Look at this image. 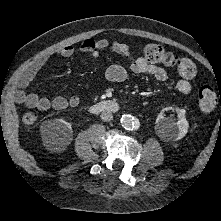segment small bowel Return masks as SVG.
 Instances as JSON below:
<instances>
[{
    "label": "small bowel",
    "mask_w": 221,
    "mask_h": 221,
    "mask_svg": "<svg viewBox=\"0 0 221 221\" xmlns=\"http://www.w3.org/2000/svg\"><path fill=\"white\" fill-rule=\"evenodd\" d=\"M78 49L92 58L98 57L101 51L110 50L128 59L129 70L132 73L147 74L153 76L160 82L168 80V73L163 67L148 62L144 57H134L130 47L124 42L109 40L107 38H88L80 43ZM75 52L76 48L74 46L65 45L52 53L42 55L36 59L19 77L18 89L15 94L17 102L23 103L29 108H35L41 111H47L50 109L60 111L67 107H77L80 104V99L76 95L70 97L58 95L49 99L47 97L39 96L36 93H27L24 90L33 80L37 72L51 57L58 56L62 58H70L75 54ZM105 76L110 82L121 83L127 79L128 69L121 65H111L107 68ZM176 88L184 95H188L192 91L191 83L185 79L178 80Z\"/></svg>",
    "instance_id": "obj_1"
}]
</instances>
